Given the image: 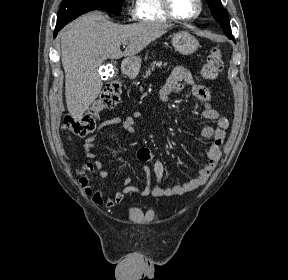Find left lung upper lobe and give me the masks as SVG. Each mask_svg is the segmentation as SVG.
I'll use <instances>...</instances> for the list:
<instances>
[{"mask_svg": "<svg viewBox=\"0 0 288 280\" xmlns=\"http://www.w3.org/2000/svg\"><path fill=\"white\" fill-rule=\"evenodd\" d=\"M213 17L220 23L224 33L229 39L234 40L229 23L228 13L222 8L221 0H206ZM235 41V40H234Z\"/></svg>", "mask_w": 288, "mask_h": 280, "instance_id": "obj_1", "label": "left lung upper lobe"}]
</instances>
